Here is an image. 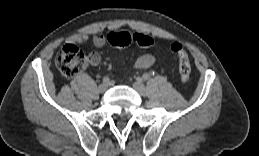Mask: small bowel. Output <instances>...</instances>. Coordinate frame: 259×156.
<instances>
[{
  "instance_id": "small-bowel-1",
  "label": "small bowel",
  "mask_w": 259,
  "mask_h": 156,
  "mask_svg": "<svg viewBox=\"0 0 259 156\" xmlns=\"http://www.w3.org/2000/svg\"><path fill=\"white\" fill-rule=\"evenodd\" d=\"M70 41L78 44H86L91 41L98 48H103L110 43L108 40V35L106 36L103 33H96L92 37L88 34H76L70 38ZM89 61L91 65L96 66L100 61V57L97 54H91ZM154 61L155 58L153 55L144 54L136 60L135 67L138 69L149 68L153 65Z\"/></svg>"
}]
</instances>
